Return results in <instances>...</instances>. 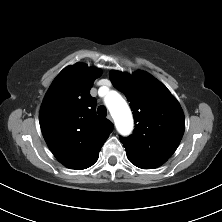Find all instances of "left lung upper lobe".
Here are the masks:
<instances>
[{"instance_id":"left-lung-upper-lobe-1","label":"left lung upper lobe","mask_w":222,"mask_h":222,"mask_svg":"<svg viewBox=\"0 0 222 222\" xmlns=\"http://www.w3.org/2000/svg\"><path fill=\"white\" fill-rule=\"evenodd\" d=\"M114 87L123 92L133 110L135 129L120 138L128 159L142 169L162 165L177 149L185 128L184 113L170 91L150 74L111 71Z\"/></svg>"}]
</instances>
